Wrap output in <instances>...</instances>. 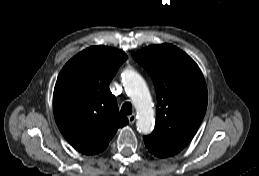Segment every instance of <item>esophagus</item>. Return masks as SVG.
Here are the masks:
<instances>
[{"label":"esophagus","instance_id":"34e87169","mask_svg":"<svg viewBox=\"0 0 259 176\" xmlns=\"http://www.w3.org/2000/svg\"><path fill=\"white\" fill-rule=\"evenodd\" d=\"M128 120H129V124H134L135 123V120H136V117H135V115L134 114H132V115H129L128 116Z\"/></svg>","mask_w":259,"mask_h":176}]
</instances>
